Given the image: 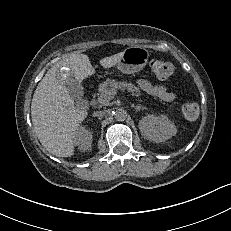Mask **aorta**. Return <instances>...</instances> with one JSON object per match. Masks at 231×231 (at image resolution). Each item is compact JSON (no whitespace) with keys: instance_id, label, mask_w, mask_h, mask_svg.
Returning <instances> with one entry per match:
<instances>
[{"instance_id":"aorta-1","label":"aorta","mask_w":231,"mask_h":231,"mask_svg":"<svg viewBox=\"0 0 231 231\" xmlns=\"http://www.w3.org/2000/svg\"><path fill=\"white\" fill-rule=\"evenodd\" d=\"M127 112L125 109L123 108H118L115 112H114V117L117 121H124L127 118Z\"/></svg>"}]
</instances>
